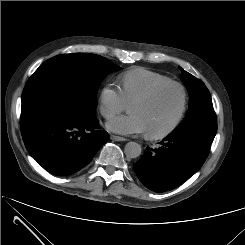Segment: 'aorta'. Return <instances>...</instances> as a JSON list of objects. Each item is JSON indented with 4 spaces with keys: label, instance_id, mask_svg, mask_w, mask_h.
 <instances>
[{
    "label": "aorta",
    "instance_id": "obj_1",
    "mask_svg": "<svg viewBox=\"0 0 245 245\" xmlns=\"http://www.w3.org/2000/svg\"><path fill=\"white\" fill-rule=\"evenodd\" d=\"M141 151H142L141 146L138 143L133 142V141L128 142L124 148V153L128 158L139 157L141 154Z\"/></svg>",
    "mask_w": 245,
    "mask_h": 245
}]
</instances>
